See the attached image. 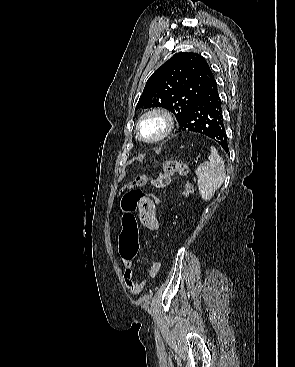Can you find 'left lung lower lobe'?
I'll return each instance as SVG.
<instances>
[{
  "label": "left lung lower lobe",
  "instance_id": "obj_1",
  "mask_svg": "<svg viewBox=\"0 0 295 367\" xmlns=\"http://www.w3.org/2000/svg\"><path fill=\"white\" fill-rule=\"evenodd\" d=\"M179 131L204 134L219 143L228 152L227 135L224 128L222 102L214 76L190 106Z\"/></svg>",
  "mask_w": 295,
  "mask_h": 367
}]
</instances>
